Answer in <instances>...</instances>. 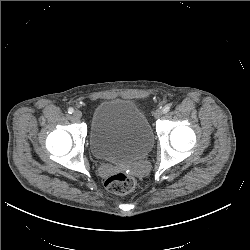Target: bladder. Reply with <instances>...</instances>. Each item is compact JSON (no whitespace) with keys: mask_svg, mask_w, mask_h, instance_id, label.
<instances>
[{"mask_svg":"<svg viewBox=\"0 0 250 250\" xmlns=\"http://www.w3.org/2000/svg\"><path fill=\"white\" fill-rule=\"evenodd\" d=\"M88 142L98 160L132 163L150 152L153 132L146 114L134 101L106 99L92 112Z\"/></svg>","mask_w":250,"mask_h":250,"instance_id":"obj_1","label":"bladder"}]
</instances>
